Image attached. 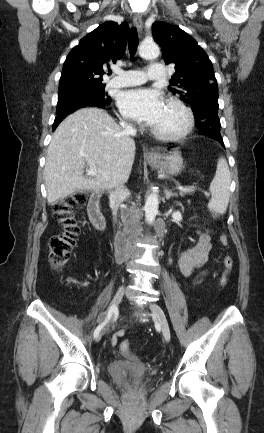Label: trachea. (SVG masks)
Returning <instances> with one entry per match:
<instances>
[{
  "label": "trachea",
  "mask_w": 264,
  "mask_h": 433,
  "mask_svg": "<svg viewBox=\"0 0 264 433\" xmlns=\"http://www.w3.org/2000/svg\"><path fill=\"white\" fill-rule=\"evenodd\" d=\"M128 46L131 57L135 55L138 46V33L136 28H131L128 35Z\"/></svg>",
  "instance_id": "1"
}]
</instances>
